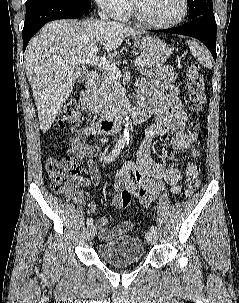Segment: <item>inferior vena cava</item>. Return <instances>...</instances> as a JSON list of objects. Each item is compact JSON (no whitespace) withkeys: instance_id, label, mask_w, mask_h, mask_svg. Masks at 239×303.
Listing matches in <instances>:
<instances>
[{"instance_id":"obj_1","label":"inferior vena cava","mask_w":239,"mask_h":303,"mask_svg":"<svg viewBox=\"0 0 239 303\" xmlns=\"http://www.w3.org/2000/svg\"><path fill=\"white\" fill-rule=\"evenodd\" d=\"M99 17L102 19V20H107L108 17L106 16V13L105 11L102 9V11H99Z\"/></svg>"}]
</instances>
